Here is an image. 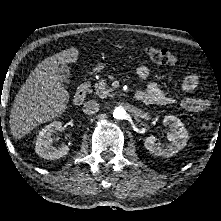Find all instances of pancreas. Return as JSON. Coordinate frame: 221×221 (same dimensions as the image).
I'll use <instances>...</instances> for the list:
<instances>
[{"label": "pancreas", "mask_w": 221, "mask_h": 221, "mask_svg": "<svg viewBox=\"0 0 221 221\" xmlns=\"http://www.w3.org/2000/svg\"><path fill=\"white\" fill-rule=\"evenodd\" d=\"M95 94L98 95L100 98H106L107 96H113L112 88H107V83L105 79L99 81L98 84L95 85Z\"/></svg>", "instance_id": "pancreas-1"}]
</instances>
